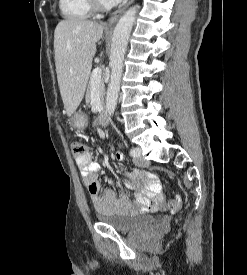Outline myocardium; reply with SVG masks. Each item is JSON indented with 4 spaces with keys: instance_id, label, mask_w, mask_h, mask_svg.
Here are the masks:
<instances>
[{
    "instance_id": "1",
    "label": "myocardium",
    "mask_w": 247,
    "mask_h": 275,
    "mask_svg": "<svg viewBox=\"0 0 247 275\" xmlns=\"http://www.w3.org/2000/svg\"><path fill=\"white\" fill-rule=\"evenodd\" d=\"M89 2L96 11H105L112 6V4L103 0H89Z\"/></svg>"
}]
</instances>
